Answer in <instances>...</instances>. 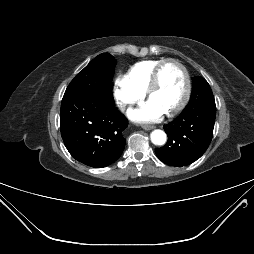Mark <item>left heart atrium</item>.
<instances>
[{"mask_svg":"<svg viewBox=\"0 0 254 254\" xmlns=\"http://www.w3.org/2000/svg\"><path fill=\"white\" fill-rule=\"evenodd\" d=\"M164 114L165 111L151 100L128 112L129 117L138 122H155L160 120Z\"/></svg>","mask_w":254,"mask_h":254,"instance_id":"obj_1","label":"left heart atrium"}]
</instances>
